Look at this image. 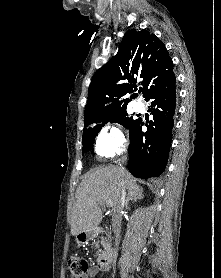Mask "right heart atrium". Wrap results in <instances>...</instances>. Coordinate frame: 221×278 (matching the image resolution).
Instances as JSON below:
<instances>
[{
	"mask_svg": "<svg viewBox=\"0 0 221 278\" xmlns=\"http://www.w3.org/2000/svg\"><path fill=\"white\" fill-rule=\"evenodd\" d=\"M127 146V140L121 129L115 123L102 127L95 140V153L102 158H111L122 153Z\"/></svg>",
	"mask_w": 221,
	"mask_h": 278,
	"instance_id": "right-heart-atrium-1",
	"label": "right heart atrium"
}]
</instances>
